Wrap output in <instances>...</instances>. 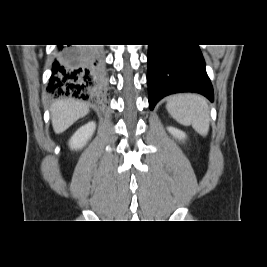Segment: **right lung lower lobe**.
<instances>
[{"mask_svg": "<svg viewBox=\"0 0 267 267\" xmlns=\"http://www.w3.org/2000/svg\"><path fill=\"white\" fill-rule=\"evenodd\" d=\"M102 68L103 53L100 48L61 45L52 64L47 91L54 96L96 99L105 84Z\"/></svg>", "mask_w": 267, "mask_h": 267, "instance_id": "right-lung-lower-lobe-1", "label": "right lung lower lobe"}]
</instances>
